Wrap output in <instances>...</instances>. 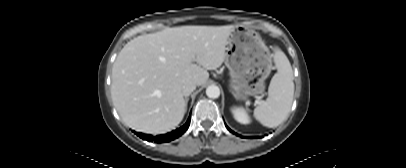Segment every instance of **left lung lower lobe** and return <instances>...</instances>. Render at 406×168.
<instances>
[{
  "instance_id": "left-lung-lower-lobe-1",
  "label": "left lung lower lobe",
  "mask_w": 406,
  "mask_h": 168,
  "mask_svg": "<svg viewBox=\"0 0 406 168\" xmlns=\"http://www.w3.org/2000/svg\"><path fill=\"white\" fill-rule=\"evenodd\" d=\"M227 129L230 131V132H232V133H234L231 129H229L228 127H227Z\"/></svg>"
}]
</instances>
